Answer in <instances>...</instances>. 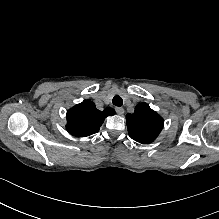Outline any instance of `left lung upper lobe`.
Listing matches in <instances>:
<instances>
[{
	"mask_svg": "<svg viewBox=\"0 0 219 219\" xmlns=\"http://www.w3.org/2000/svg\"><path fill=\"white\" fill-rule=\"evenodd\" d=\"M129 136L142 144L153 142L163 128V118L147 103L138 104L133 114L126 115Z\"/></svg>",
	"mask_w": 219,
	"mask_h": 219,
	"instance_id": "obj_1",
	"label": "left lung upper lobe"
}]
</instances>
